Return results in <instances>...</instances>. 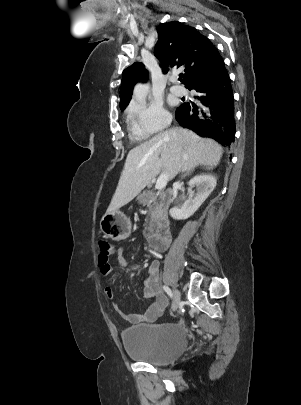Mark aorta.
Here are the masks:
<instances>
[{"label":"aorta","mask_w":301,"mask_h":405,"mask_svg":"<svg viewBox=\"0 0 301 405\" xmlns=\"http://www.w3.org/2000/svg\"><path fill=\"white\" fill-rule=\"evenodd\" d=\"M148 93L149 87L146 84L138 83L134 88L133 97L138 102H142L146 99Z\"/></svg>","instance_id":"obj_1"}]
</instances>
